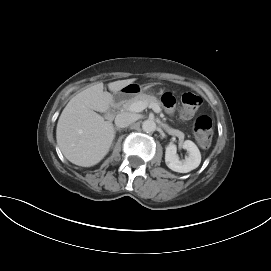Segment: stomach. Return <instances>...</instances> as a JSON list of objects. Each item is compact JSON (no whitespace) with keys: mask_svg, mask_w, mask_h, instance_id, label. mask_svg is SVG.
<instances>
[{"mask_svg":"<svg viewBox=\"0 0 271 271\" xmlns=\"http://www.w3.org/2000/svg\"><path fill=\"white\" fill-rule=\"evenodd\" d=\"M152 84H147L146 86H141L137 83H130L123 87L120 91L115 93V97L124 100L127 98H133L139 94H142L144 91H147L151 88Z\"/></svg>","mask_w":271,"mask_h":271,"instance_id":"stomach-1","label":"stomach"}]
</instances>
